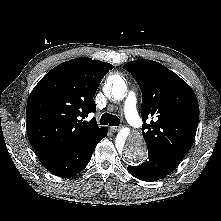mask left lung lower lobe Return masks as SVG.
Here are the masks:
<instances>
[{
	"label": "left lung lower lobe",
	"instance_id": "obj_1",
	"mask_svg": "<svg viewBox=\"0 0 221 221\" xmlns=\"http://www.w3.org/2000/svg\"><path fill=\"white\" fill-rule=\"evenodd\" d=\"M180 160L154 149H148V159L139 166H128V172L137 179L153 182L171 173Z\"/></svg>",
	"mask_w": 221,
	"mask_h": 221
}]
</instances>
